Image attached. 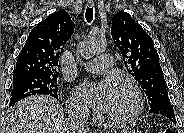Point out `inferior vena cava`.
<instances>
[{
    "instance_id": "inferior-vena-cava-1",
    "label": "inferior vena cava",
    "mask_w": 184,
    "mask_h": 133,
    "mask_svg": "<svg viewBox=\"0 0 184 133\" xmlns=\"http://www.w3.org/2000/svg\"><path fill=\"white\" fill-rule=\"evenodd\" d=\"M88 116L89 111L86 107L76 105L68 110L70 119V129L72 133H88Z\"/></svg>"
}]
</instances>
